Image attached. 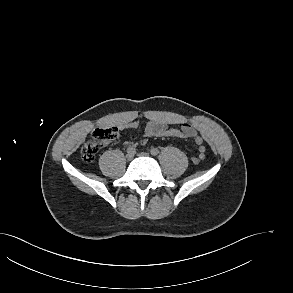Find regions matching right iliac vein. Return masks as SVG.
I'll use <instances>...</instances> for the list:
<instances>
[{
  "label": "right iliac vein",
  "mask_w": 293,
  "mask_h": 293,
  "mask_svg": "<svg viewBox=\"0 0 293 293\" xmlns=\"http://www.w3.org/2000/svg\"><path fill=\"white\" fill-rule=\"evenodd\" d=\"M133 157H134V153H128V154L126 155L127 160H132Z\"/></svg>",
  "instance_id": "1"
}]
</instances>
